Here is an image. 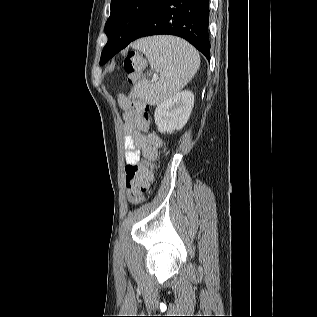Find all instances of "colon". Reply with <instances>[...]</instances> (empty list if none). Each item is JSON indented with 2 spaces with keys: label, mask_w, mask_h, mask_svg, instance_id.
I'll return each mask as SVG.
<instances>
[{
  "label": "colon",
  "mask_w": 317,
  "mask_h": 317,
  "mask_svg": "<svg viewBox=\"0 0 317 317\" xmlns=\"http://www.w3.org/2000/svg\"><path fill=\"white\" fill-rule=\"evenodd\" d=\"M143 60L136 52H129L124 59V69L130 83H135L141 73ZM149 122V107H144L137 119V125L147 128ZM150 171L142 165H127L125 168V185L131 202L138 203L146 191L150 179Z\"/></svg>",
  "instance_id": "1"
}]
</instances>
